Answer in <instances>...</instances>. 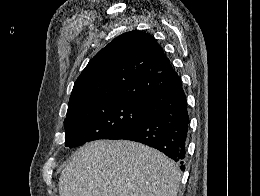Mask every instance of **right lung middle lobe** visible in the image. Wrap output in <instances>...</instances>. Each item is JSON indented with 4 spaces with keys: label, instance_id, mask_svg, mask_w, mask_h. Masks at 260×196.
Returning a JSON list of instances; mask_svg holds the SVG:
<instances>
[{
    "label": "right lung middle lobe",
    "instance_id": "dd1d6c3e",
    "mask_svg": "<svg viewBox=\"0 0 260 196\" xmlns=\"http://www.w3.org/2000/svg\"><path fill=\"white\" fill-rule=\"evenodd\" d=\"M148 118L139 102L110 96L84 104L68 106L65 146H80L97 139H114Z\"/></svg>",
    "mask_w": 260,
    "mask_h": 196
}]
</instances>
